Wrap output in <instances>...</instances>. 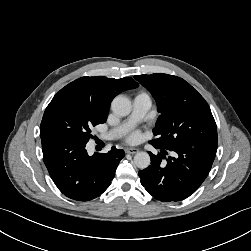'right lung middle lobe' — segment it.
I'll return each mask as SVG.
<instances>
[{
  "label": "right lung middle lobe",
  "instance_id": "obj_1",
  "mask_svg": "<svg viewBox=\"0 0 251 251\" xmlns=\"http://www.w3.org/2000/svg\"><path fill=\"white\" fill-rule=\"evenodd\" d=\"M106 119L77 96L57 93L44 112L40 137H64L86 144L92 138L91 128Z\"/></svg>",
  "mask_w": 251,
  "mask_h": 251
}]
</instances>
